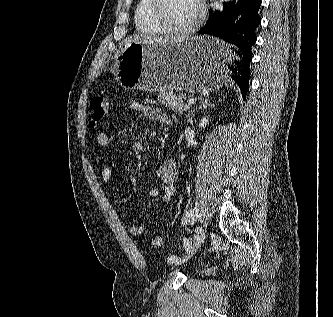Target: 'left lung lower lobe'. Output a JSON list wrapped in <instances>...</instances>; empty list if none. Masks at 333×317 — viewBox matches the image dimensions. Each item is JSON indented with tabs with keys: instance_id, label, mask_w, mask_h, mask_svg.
Here are the masks:
<instances>
[{
	"instance_id": "1",
	"label": "left lung lower lobe",
	"mask_w": 333,
	"mask_h": 317,
	"mask_svg": "<svg viewBox=\"0 0 333 317\" xmlns=\"http://www.w3.org/2000/svg\"><path fill=\"white\" fill-rule=\"evenodd\" d=\"M261 0H231L223 3L222 10H210L209 19L199 34L212 35L238 47L234 53L224 55L229 76L239 86L243 98L248 92L252 60L251 47L256 42V28L261 23L258 10Z\"/></svg>"
}]
</instances>
